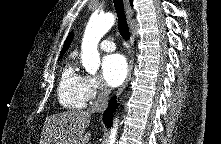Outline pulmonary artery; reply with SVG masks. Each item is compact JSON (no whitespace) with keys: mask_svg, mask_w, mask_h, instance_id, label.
<instances>
[{"mask_svg":"<svg viewBox=\"0 0 221 144\" xmlns=\"http://www.w3.org/2000/svg\"><path fill=\"white\" fill-rule=\"evenodd\" d=\"M99 47H100V49H102L103 51H106V52H111L116 49L115 43L110 40H103L100 43Z\"/></svg>","mask_w":221,"mask_h":144,"instance_id":"obj_1","label":"pulmonary artery"}]
</instances>
